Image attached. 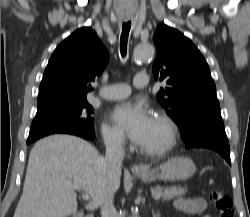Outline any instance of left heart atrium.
<instances>
[{"label": "left heart atrium", "mask_w": 250, "mask_h": 217, "mask_svg": "<svg viewBox=\"0 0 250 217\" xmlns=\"http://www.w3.org/2000/svg\"><path fill=\"white\" fill-rule=\"evenodd\" d=\"M152 118L147 108L140 103L125 102L112 112V120L139 145L145 139Z\"/></svg>", "instance_id": "left-heart-atrium-1"}]
</instances>
